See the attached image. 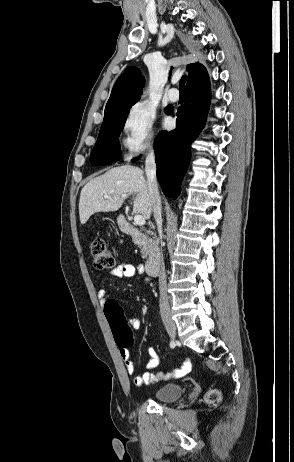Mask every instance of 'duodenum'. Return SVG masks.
I'll list each match as a JSON object with an SVG mask.
<instances>
[{
  "label": "duodenum",
  "mask_w": 294,
  "mask_h": 462,
  "mask_svg": "<svg viewBox=\"0 0 294 462\" xmlns=\"http://www.w3.org/2000/svg\"><path fill=\"white\" fill-rule=\"evenodd\" d=\"M118 223L121 231L126 233L138 240H146L148 237L144 233H142L139 229L134 227L132 224L129 223L127 218L123 215L119 216ZM149 235H153V231H148ZM163 252L162 249L157 246L153 245L150 250V256L146 261V272L149 276H157L160 270L161 258Z\"/></svg>",
  "instance_id": "obj_1"
}]
</instances>
